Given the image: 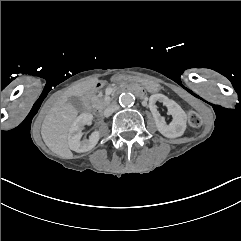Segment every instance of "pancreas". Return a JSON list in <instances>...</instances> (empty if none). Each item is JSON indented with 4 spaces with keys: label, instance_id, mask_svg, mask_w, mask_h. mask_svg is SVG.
<instances>
[{
    "label": "pancreas",
    "instance_id": "cf45deb5",
    "mask_svg": "<svg viewBox=\"0 0 241 241\" xmlns=\"http://www.w3.org/2000/svg\"><path fill=\"white\" fill-rule=\"evenodd\" d=\"M99 96H102V93L99 94ZM95 100V99H94ZM109 104V101H105L104 99L100 100V104L98 108H103ZM93 107H95V104H93Z\"/></svg>",
    "mask_w": 241,
    "mask_h": 241
}]
</instances>
